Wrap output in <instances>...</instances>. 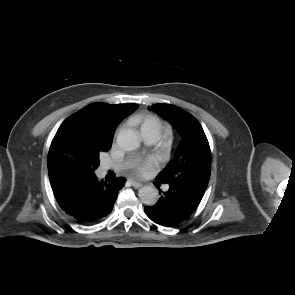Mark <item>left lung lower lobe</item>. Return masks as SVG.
Segmentation results:
<instances>
[{"mask_svg":"<svg viewBox=\"0 0 295 295\" xmlns=\"http://www.w3.org/2000/svg\"><path fill=\"white\" fill-rule=\"evenodd\" d=\"M204 192L202 189H187L170 183L168 191L163 193L158 202L145 207L144 210L153 222L166 227L174 226L193 214Z\"/></svg>","mask_w":295,"mask_h":295,"instance_id":"0a47b994","label":"left lung lower lobe"}]
</instances>
